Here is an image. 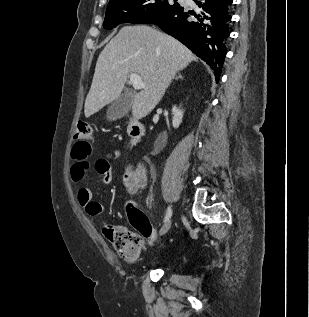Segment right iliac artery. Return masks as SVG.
<instances>
[{
	"instance_id": "82829eb1",
	"label": "right iliac artery",
	"mask_w": 309,
	"mask_h": 317,
	"mask_svg": "<svg viewBox=\"0 0 309 317\" xmlns=\"http://www.w3.org/2000/svg\"><path fill=\"white\" fill-rule=\"evenodd\" d=\"M171 215H172V210H171V207L168 206L167 211H166V215H165V218H164V222L168 221L169 218L171 217Z\"/></svg>"
}]
</instances>
